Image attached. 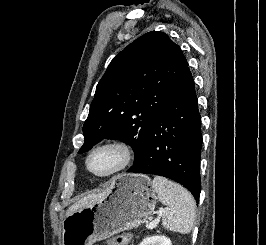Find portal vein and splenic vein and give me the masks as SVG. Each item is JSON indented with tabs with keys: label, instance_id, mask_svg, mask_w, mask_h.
<instances>
[{
	"label": "portal vein and splenic vein",
	"instance_id": "obj_1",
	"mask_svg": "<svg viewBox=\"0 0 266 245\" xmlns=\"http://www.w3.org/2000/svg\"><path fill=\"white\" fill-rule=\"evenodd\" d=\"M163 213H165V209H159L158 219H154V221H152V223H149V225H147V229H155V227H157V225L159 223V219H160L161 215H163Z\"/></svg>",
	"mask_w": 266,
	"mask_h": 245
}]
</instances>
